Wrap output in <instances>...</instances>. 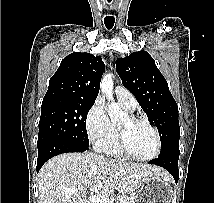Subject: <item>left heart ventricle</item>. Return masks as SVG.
I'll return each mask as SVG.
<instances>
[{
    "label": "left heart ventricle",
    "mask_w": 214,
    "mask_h": 203,
    "mask_svg": "<svg viewBox=\"0 0 214 203\" xmlns=\"http://www.w3.org/2000/svg\"><path fill=\"white\" fill-rule=\"evenodd\" d=\"M119 125L126 129L127 146L132 154L147 157L154 153L156 140L153 131L144 124H131L125 117Z\"/></svg>",
    "instance_id": "obj_1"
}]
</instances>
